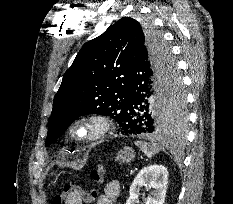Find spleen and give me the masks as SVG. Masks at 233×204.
<instances>
[{"instance_id": "obj_1", "label": "spleen", "mask_w": 233, "mask_h": 204, "mask_svg": "<svg viewBox=\"0 0 233 204\" xmlns=\"http://www.w3.org/2000/svg\"><path fill=\"white\" fill-rule=\"evenodd\" d=\"M135 145L139 147L148 158H152L155 154L159 152L158 146L154 143L151 144L144 141H136Z\"/></svg>"}]
</instances>
